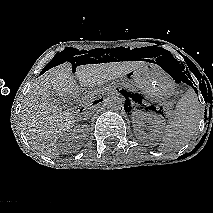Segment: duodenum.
Wrapping results in <instances>:
<instances>
[{"instance_id":"1","label":"duodenum","mask_w":213,"mask_h":213,"mask_svg":"<svg viewBox=\"0 0 213 213\" xmlns=\"http://www.w3.org/2000/svg\"><path fill=\"white\" fill-rule=\"evenodd\" d=\"M95 106V102H92L88 105V108H93Z\"/></svg>"}]
</instances>
